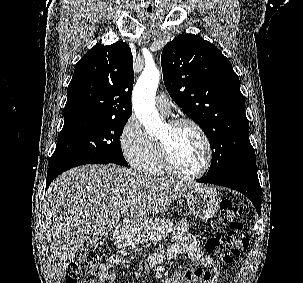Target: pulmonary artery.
I'll list each match as a JSON object with an SVG mask.
<instances>
[{"instance_id":"obj_1","label":"pulmonary artery","mask_w":303,"mask_h":283,"mask_svg":"<svg viewBox=\"0 0 303 283\" xmlns=\"http://www.w3.org/2000/svg\"><path fill=\"white\" fill-rule=\"evenodd\" d=\"M157 109L164 115H169L171 106L168 97L165 94L157 95L155 99Z\"/></svg>"}]
</instances>
